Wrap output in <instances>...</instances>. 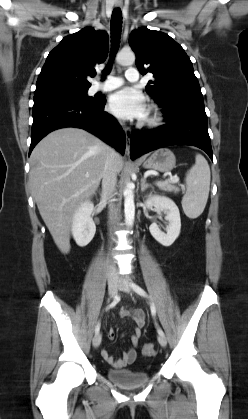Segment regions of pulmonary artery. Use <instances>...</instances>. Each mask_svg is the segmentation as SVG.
Segmentation results:
<instances>
[{"label": "pulmonary artery", "instance_id": "e3ab8cb5", "mask_svg": "<svg viewBox=\"0 0 248 419\" xmlns=\"http://www.w3.org/2000/svg\"><path fill=\"white\" fill-rule=\"evenodd\" d=\"M125 78L130 82L139 80V73L136 67H128L125 72ZM123 84V79L117 76H107L103 83L94 86V91H110L119 88Z\"/></svg>", "mask_w": 248, "mask_h": 419}]
</instances>
